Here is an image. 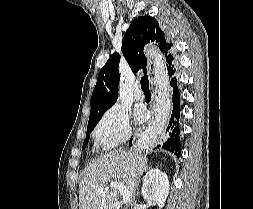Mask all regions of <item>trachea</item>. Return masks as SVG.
Segmentation results:
<instances>
[{
	"label": "trachea",
	"mask_w": 253,
	"mask_h": 209,
	"mask_svg": "<svg viewBox=\"0 0 253 209\" xmlns=\"http://www.w3.org/2000/svg\"><path fill=\"white\" fill-rule=\"evenodd\" d=\"M140 83H141L142 90H149V80H148V76L147 75H144L141 78Z\"/></svg>",
	"instance_id": "1"
}]
</instances>
